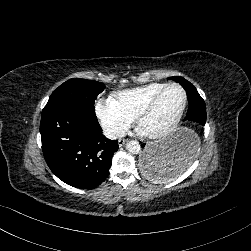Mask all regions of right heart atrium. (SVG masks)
Returning a JSON list of instances; mask_svg holds the SVG:
<instances>
[{"label":"right heart atrium","mask_w":251,"mask_h":251,"mask_svg":"<svg viewBox=\"0 0 251 251\" xmlns=\"http://www.w3.org/2000/svg\"><path fill=\"white\" fill-rule=\"evenodd\" d=\"M94 110L105 132L112 138L122 137L137 120L136 115L128 112L112 94L99 97Z\"/></svg>","instance_id":"obj_1"}]
</instances>
